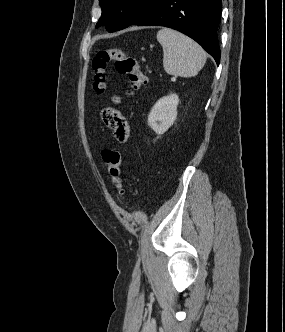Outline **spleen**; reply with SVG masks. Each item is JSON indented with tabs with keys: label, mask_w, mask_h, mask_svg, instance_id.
Segmentation results:
<instances>
[{
	"label": "spleen",
	"mask_w": 285,
	"mask_h": 332,
	"mask_svg": "<svg viewBox=\"0 0 285 332\" xmlns=\"http://www.w3.org/2000/svg\"><path fill=\"white\" fill-rule=\"evenodd\" d=\"M157 40L163 48V67L169 75L193 77L206 62L204 49L188 36L163 28L157 33Z\"/></svg>",
	"instance_id": "spleen-1"
}]
</instances>
